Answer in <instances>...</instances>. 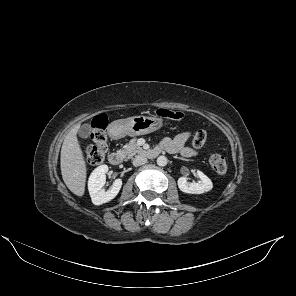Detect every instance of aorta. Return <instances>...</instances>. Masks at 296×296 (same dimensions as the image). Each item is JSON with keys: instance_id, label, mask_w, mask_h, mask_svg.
<instances>
[{"instance_id": "762f6f07", "label": "aorta", "mask_w": 296, "mask_h": 296, "mask_svg": "<svg viewBox=\"0 0 296 296\" xmlns=\"http://www.w3.org/2000/svg\"><path fill=\"white\" fill-rule=\"evenodd\" d=\"M167 163H168V159H167V157H165V156H159V157L157 158V164H158L159 166H166Z\"/></svg>"}]
</instances>
